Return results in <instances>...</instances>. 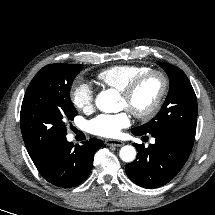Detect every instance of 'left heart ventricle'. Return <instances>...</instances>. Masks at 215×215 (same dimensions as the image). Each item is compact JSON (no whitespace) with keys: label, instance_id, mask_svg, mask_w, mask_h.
I'll return each mask as SVG.
<instances>
[{"label":"left heart ventricle","instance_id":"1","mask_svg":"<svg viewBox=\"0 0 215 215\" xmlns=\"http://www.w3.org/2000/svg\"><path fill=\"white\" fill-rule=\"evenodd\" d=\"M160 90V81L156 77L148 79L136 92L131 100L121 96L120 104L122 108L144 110L155 100Z\"/></svg>","mask_w":215,"mask_h":215}]
</instances>
